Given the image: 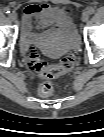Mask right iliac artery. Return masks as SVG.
<instances>
[{"mask_svg":"<svg viewBox=\"0 0 104 137\" xmlns=\"http://www.w3.org/2000/svg\"><path fill=\"white\" fill-rule=\"evenodd\" d=\"M4 13L9 14L10 13V9L8 7H5L4 8Z\"/></svg>","mask_w":104,"mask_h":137,"instance_id":"obj_1","label":"right iliac artery"}]
</instances>
